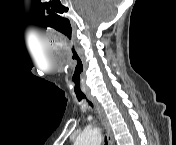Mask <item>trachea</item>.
<instances>
[{
    "label": "trachea",
    "mask_w": 176,
    "mask_h": 145,
    "mask_svg": "<svg viewBox=\"0 0 176 145\" xmlns=\"http://www.w3.org/2000/svg\"><path fill=\"white\" fill-rule=\"evenodd\" d=\"M78 101H82L83 99H86L85 95H76ZM90 106H93L90 102H88ZM105 145H108L105 137Z\"/></svg>",
    "instance_id": "3493384b"
}]
</instances>
